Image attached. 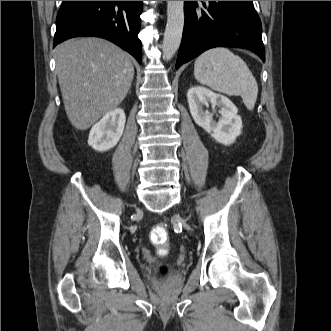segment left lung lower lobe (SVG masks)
Returning a JSON list of instances; mask_svg holds the SVG:
<instances>
[{"mask_svg":"<svg viewBox=\"0 0 331 331\" xmlns=\"http://www.w3.org/2000/svg\"><path fill=\"white\" fill-rule=\"evenodd\" d=\"M176 68L214 47L251 50L265 62L262 25L253 1H185Z\"/></svg>","mask_w":331,"mask_h":331,"instance_id":"1","label":"left lung lower lobe"}]
</instances>
